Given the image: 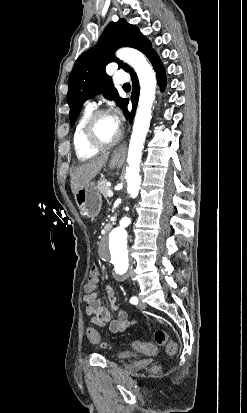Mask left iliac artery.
<instances>
[{
  "mask_svg": "<svg viewBox=\"0 0 247 413\" xmlns=\"http://www.w3.org/2000/svg\"><path fill=\"white\" fill-rule=\"evenodd\" d=\"M130 303H131V304H135V305H137V304H138V298H137V297H135V296L131 297V299H130Z\"/></svg>",
  "mask_w": 247,
  "mask_h": 413,
  "instance_id": "44dca946",
  "label": "left iliac artery"
}]
</instances>
